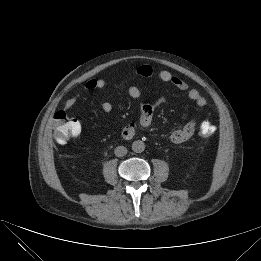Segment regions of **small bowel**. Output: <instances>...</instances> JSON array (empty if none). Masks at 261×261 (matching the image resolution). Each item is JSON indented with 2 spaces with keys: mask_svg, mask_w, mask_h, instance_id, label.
Here are the masks:
<instances>
[{
  "mask_svg": "<svg viewBox=\"0 0 261 261\" xmlns=\"http://www.w3.org/2000/svg\"><path fill=\"white\" fill-rule=\"evenodd\" d=\"M137 73L140 76L143 77H149L152 75L153 70L152 67L149 65H140L137 68ZM158 77L161 81L171 83L176 88L182 91H187L188 98L193 101L198 107H205L207 105V100L201 95V93L196 89H190L188 83L183 80L182 78L172 74L171 72L167 70H162L158 73ZM105 80L103 78H91L85 83V88L87 90H94V89H103L105 87ZM127 93L130 97L133 99H141L142 98V92L141 90L136 86H130L127 89ZM76 104L75 98H70L65 102V110L71 109ZM102 110L105 113H110L112 111V104L110 102H103ZM153 107L150 104H143L141 106L140 110V118L139 123L142 127L147 128L151 125L153 121ZM205 122H209L208 119H205L201 125ZM77 124L79 126V131L81 129L79 122L77 121ZM197 122L196 120L192 119L189 122H187L182 128L174 130L170 134V141L175 144H179L182 142L187 141L190 139L196 130ZM122 137L124 139H132L136 134V127L133 124L127 125L122 129Z\"/></svg>",
  "mask_w": 261,
  "mask_h": 261,
  "instance_id": "1",
  "label": "small bowel"
}]
</instances>
